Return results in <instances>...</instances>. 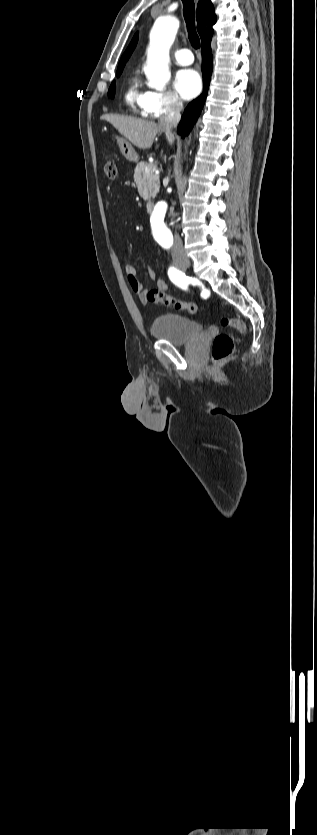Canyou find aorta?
<instances>
[{"label": "aorta", "mask_w": 317, "mask_h": 835, "mask_svg": "<svg viewBox=\"0 0 317 835\" xmlns=\"http://www.w3.org/2000/svg\"><path fill=\"white\" fill-rule=\"evenodd\" d=\"M178 27L179 20L176 16L161 15L156 19L151 29L146 66L144 67L147 85L150 88L162 91L171 78L169 51L175 40ZM166 210L167 204L160 202L156 205L152 214L154 231L159 237L169 235L164 220Z\"/></svg>", "instance_id": "762f6f07"}]
</instances>
